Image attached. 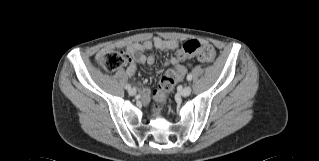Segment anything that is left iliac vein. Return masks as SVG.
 Returning a JSON list of instances; mask_svg holds the SVG:
<instances>
[{
	"label": "left iliac vein",
	"instance_id": "obj_1",
	"mask_svg": "<svg viewBox=\"0 0 319 161\" xmlns=\"http://www.w3.org/2000/svg\"><path fill=\"white\" fill-rule=\"evenodd\" d=\"M192 88L190 86H185L181 91L180 95L183 97H187L191 94Z\"/></svg>",
	"mask_w": 319,
	"mask_h": 161
}]
</instances>
